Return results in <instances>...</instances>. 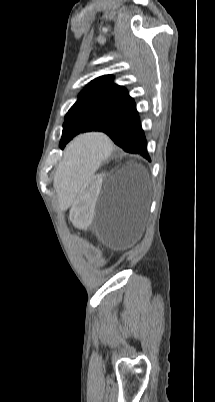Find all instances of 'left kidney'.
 Returning <instances> with one entry per match:
<instances>
[{
	"mask_svg": "<svg viewBox=\"0 0 215 402\" xmlns=\"http://www.w3.org/2000/svg\"><path fill=\"white\" fill-rule=\"evenodd\" d=\"M106 172L100 170L95 174L94 182H88L84 184L83 191L79 193L77 201L72 208L71 219L76 225L78 232H87L88 224L92 220V209L95 207L97 193L101 191V177H104Z\"/></svg>",
	"mask_w": 215,
	"mask_h": 402,
	"instance_id": "left-kidney-1",
	"label": "left kidney"
}]
</instances>
